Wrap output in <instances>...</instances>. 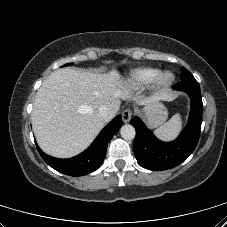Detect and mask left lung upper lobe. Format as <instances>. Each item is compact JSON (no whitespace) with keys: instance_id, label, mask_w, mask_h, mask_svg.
<instances>
[{"instance_id":"1","label":"left lung upper lobe","mask_w":227,"mask_h":227,"mask_svg":"<svg viewBox=\"0 0 227 227\" xmlns=\"http://www.w3.org/2000/svg\"><path fill=\"white\" fill-rule=\"evenodd\" d=\"M182 76L181 79H185V78H189V77H193L192 74L186 69V68H182Z\"/></svg>"}]
</instances>
